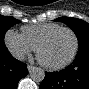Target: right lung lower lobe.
Returning a JSON list of instances; mask_svg holds the SVG:
<instances>
[{"label":"right lung lower lobe","instance_id":"1","mask_svg":"<svg viewBox=\"0 0 89 89\" xmlns=\"http://www.w3.org/2000/svg\"><path fill=\"white\" fill-rule=\"evenodd\" d=\"M27 74L26 64L15 59L6 46L0 48V89H16Z\"/></svg>","mask_w":89,"mask_h":89}]
</instances>
